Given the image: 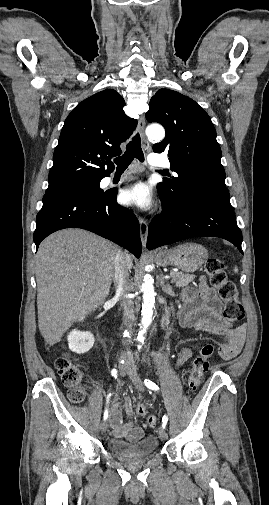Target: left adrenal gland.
Returning a JSON list of instances; mask_svg holds the SVG:
<instances>
[{"mask_svg": "<svg viewBox=\"0 0 269 505\" xmlns=\"http://www.w3.org/2000/svg\"><path fill=\"white\" fill-rule=\"evenodd\" d=\"M160 285H161V287H162V290H163L166 294H168V295H170V296H175L174 291L172 290V286H170V284H165V282H164V279H163V278H161V279H160Z\"/></svg>", "mask_w": 269, "mask_h": 505, "instance_id": "1", "label": "left adrenal gland"}]
</instances>
